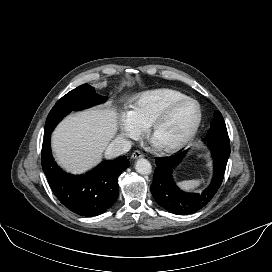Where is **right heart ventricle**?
Segmentation results:
<instances>
[{
    "instance_id": "right-heart-ventricle-1",
    "label": "right heart ventricle",
    "mask_w": 272,
    "mask_h": 272,
    "mask_svg": "<svg viewBox=\"0 0 272 272\" xmlns=\"http://www.w3.org/2000/svg\"><path fill=\"white\" fill-rule=\"evenodd\" d=\"M183 97H186L184 93L171 88L146 91L133 99L128 112L134 122L145 130L167 105Z\"/></svg>"
}]
</instances>
